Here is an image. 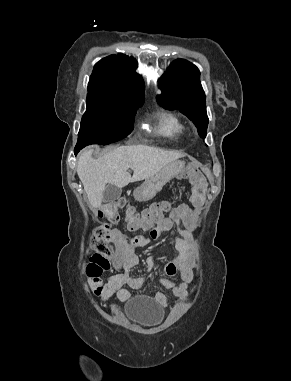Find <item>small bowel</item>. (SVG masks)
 I'll use <instances>...</instances> for the list:
<instances>
[{
	"instance_id": "c3829d8e",
	"label": "small bowel",
	"mask_w": 291,
	"mask_h": 381,
	"mask_svg": "<svg viewBox=\"0 0 291 381\" xmlns=\"http://www.w3.org/2000/svg\"><path fill=\"white\" fill-rule=\"evenodd\" d=\"M194 217V209L187 204H181L173 208L169 216L156 225L148 236L137 235L125 241L120 232L113 231V241L117 246V256L121 260L123 272L110 276L106 281L99 277H90L89 285L93 293L102 301L117 294L121 301L129 298V292L125 286L140 288L143 281L130 275V270L139 263V257L135 254L136 247L146 245L150 240L159 239L163 234L167 233L172 224H175L178 235L170 236L174 242L178 254L164 266V273L168 276L162 280L164 286L172 291L175 297L184 300L187 294L188 284L193 279V268L195 265V256L193 253V239L189 234ZM148 266L156 265L155 258L147 261ZM179 275L181 282L176 284L171 277ZM156 302L166 307L169 303L167 296L162 292L155 294Z\"/></svg>"
}]
</instances>
